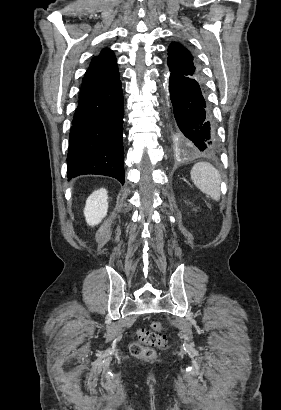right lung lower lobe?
I'll return each instance as SVG.
<instances>
[{
  "label": "right lung lower lobe",
  "mask_w": 281,
  "mask_h": 410,
  "mask_svg": "<svg viewBox=\"0 0 281 410\" xmlns=\"http://www.w3.org/2000/svg\"><path fill=\"white\" fill-rule=\"evenodd\" d=\"M121 81L80 96L69 134L67 176H111L124 184Z\"/></svg>",
  "instance_id": "98d812e1"
}]
</instances>
